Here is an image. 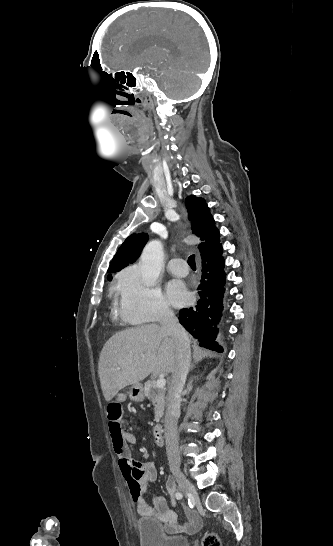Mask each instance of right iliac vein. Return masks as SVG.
Wrapping results in <instances>:
<instances>
[{
    "label": "right iliac vein",
    "instance_id": "right-iliac-vein-1",
    "mask_svg": "<svg viewBox=\"0 0 333 546\" xmlns=\"http://www.w3.org/2000/svg\"><path fill=\"white\" fill-rule=\"evenodd\" d=\"M174 474H175L178 486L181 488V490L185 494L194 493V491H195L194 486L190 483V481L181 472H175Z\"/></svg>",
    "mask_w": 333,
    "mask_h": 546
}]
</instances>
